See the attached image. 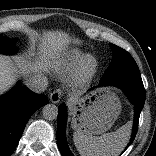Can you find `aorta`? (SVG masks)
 Returning a JSON list of instances; mask_svg holds the SVG:
<instances>
[{
    "label": "aorta",
    "mask_w": 156,
    "mask_h": 156,
    "mask_svg": "<svg viewBox=\"0 0 156 156\" xmlns=\"http://www.w3.org/2000/svg\"><path fill=\"white\" fill-rule=\"evenodd\" d=\"M42 115L45 120L53 121L57 118L58 108L53 104L46 105L42 110Z\"/></svg>",
    "instance_id": "762f6f07"
}]
</instances>
